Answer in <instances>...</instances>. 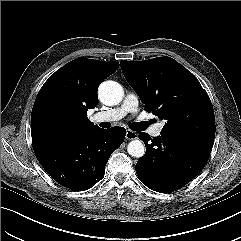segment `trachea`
Returning a JSON list of instances; mask_svg holds the SVG:
<instances>
[{"instance_id":"1","label":"trachea","mask_w":241,"mask_h":241,"mask_svg":"<svg viewBox=\"0 0 241 241\" xmlns=\"http://www.w3.org/2000/svg\"><path fill=\"white\" fill-rule=\"evenodd\" d=\"M147 125V122L134 123L131 125V129L134 131H142L146 128Z\"/></svg>"}]
</instances>
